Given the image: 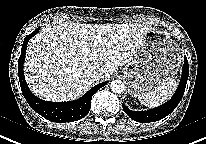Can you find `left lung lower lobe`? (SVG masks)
Masks as SVG:
<instances>
[{
	"mask_svg": "<svg viewBox=\"0 0 206 144\" xmlns=\"http://www.w3.org/2000/svg\"><path fill=\"white\" fill-rule=\"evenodd\" d=\"M188 73H189L188 61L187 58L185 57L182 78L180 80L179 86L175 94L169 101H167L165 104H162L159 107L147 111H139V112L129 110L127 107L123 105L124 112L127 113V115L136 122L149 123V122H155L160 119H163L176 108V106L182 99L183 94L185 92L186 83L188 80Z\"/></svg>",
	"mask_w": 206,
	"mask_h": 144,
	"instance_id": "1",
	"label": "left lung lower lobe"
}]
</instances>
